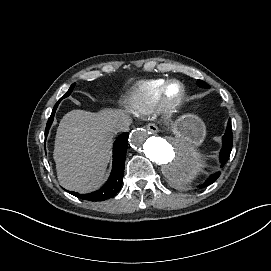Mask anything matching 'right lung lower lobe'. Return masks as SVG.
I'll return each instance as SVG.
<instances>
[{"label": "right lung lower lobe", "instance_id": "1", "mask_svg": "<svg viewBox=\"0 0 271 271\" xmlns=\"http://www.w3.org/2000/svg\"><path fill=\"white\" fill-rule=\"evenodd\" d=\"M59 102L56 103L52 114L47 122L45 129V140L49 131V128L53 122L54 114ZM128 133H122L114 142L113 145V168L108 181L99 190L88 193L79 194L77 192H71L70 194L76 197L88 200V201H104L106 199L115 196L121 189L122 179L124 174L126 151L128 146Z\"/></svg>", "mask_w": 271, "mask_h": 271}]
</instances>
